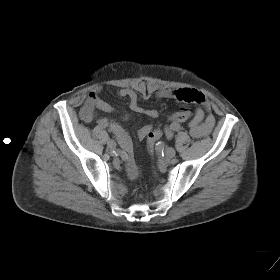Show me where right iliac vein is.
<instances>
[{
    "instance_id": "obj_1",
    "label": "right iliac vein",
    "mask_w": 280,
    "mask_h": 280,
    "mask_svg": "<svg viewBox=\"0 0 280 280\" xmlns=\"http://www.w3.org/2000/svg\"><path fill=\"white\" fill-rule=\"evenodd\" d=\"M107 147L111 150L115 149L116 148V142L114 140H108Z\"/></svg>"
}]
</instances>
